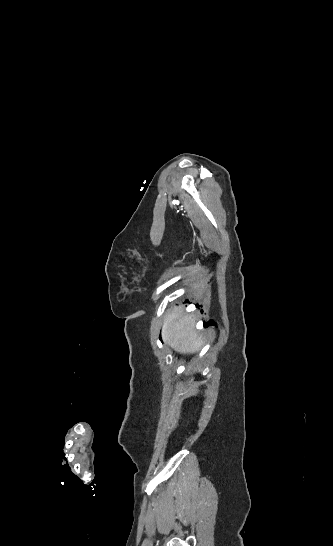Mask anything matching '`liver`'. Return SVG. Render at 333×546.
I'll use <instances>...</instances> for the list:
<instances>
[{
	"instance_id": "liver-1",
	"label": "liver",
	"mask_w": 333,
	"mask_h": 546,
	"mask_svg": "<svg viewBox=\"0 0 333 546\" xmlns=\"http://www.w3.org/2000/svg\"><path fill=\"white\" fill-rule=\"evenodd\" d=\"M194 326L195 317L191 314L185 315L182 305L171 307L163 321V341L181 354L194 353L203 343Z\"/></svg>"
}]
</instances>
